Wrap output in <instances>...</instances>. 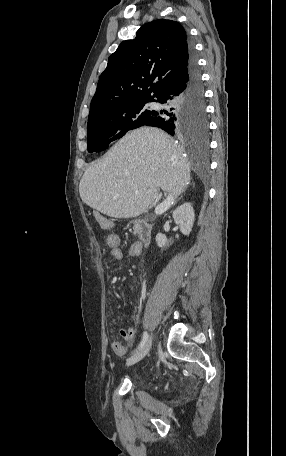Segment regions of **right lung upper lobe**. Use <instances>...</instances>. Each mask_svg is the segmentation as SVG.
<instances>
[{
	"label": "right lung upper lobe",
	"mask_w": 286,
	"mask_h": 456,
	"mask_svg": "<svg viewBox=\"0 0 286 456\" xmlns=\"http://www.w3.org/2000/svg\"><path fill=\"white\" fill-rule=\"evenodd\" d=\"M191 56L180 23L158 19L143 25L135 39L122 42L109 57L88 120L117 104L156 98L186 76Z\"/></svg>",
	"instance_id": "1"
}]
</instances>
